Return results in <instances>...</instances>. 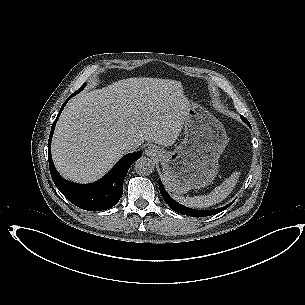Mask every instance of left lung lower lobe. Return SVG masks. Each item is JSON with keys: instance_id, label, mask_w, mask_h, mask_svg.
<instances>
[{"instance_id": "0a47b994", "label": "left lung lower lobe", "mask_w": 305, "mask_h": 305, "mask_svg": "<svg viewBox=\"0 0 305 305\" xmlns=\"http://www.w3.org/2000/svg\"><path fill=\"white\" fill-rule=\"evenodd\" d=\"M159 187H160V192H161L162 197H163L164 200L167 202V204L169 205V207H170L172 210L175 211V210H176V205H177L178 203L175 202V201L168 195V193L165 191V189H164V187H163L161 181H159ZM230 205H231V203L228 204V205H226V206H224V207H222V208H219V209L206 210V212H207L206 215H207V216H211V215H214V214H216V213H219V212L225 210L226 208H228Z\"/></svg>"}]
</instances>
